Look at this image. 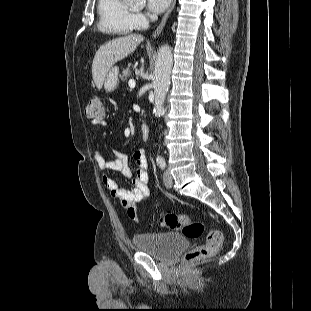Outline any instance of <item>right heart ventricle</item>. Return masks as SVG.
Masks as SVG:
<instances>
[{
	"instance_id": "right-heart-ventricle-1",
	"label": "right heart ventricle",
	"mask_w": 311,
	"mask_h": 311,
	"mask_svg": "<svg viewBox=\"0 0 311 311\" xmlns=\"http://www.w3.org/2000/svg\"><path fill=\"white\" fill-rule=\"evenodd\" d=\"M98 27L113 35H127L135 28L133 13L124 0H98Z\"/></svg>"
}]
</instances>
